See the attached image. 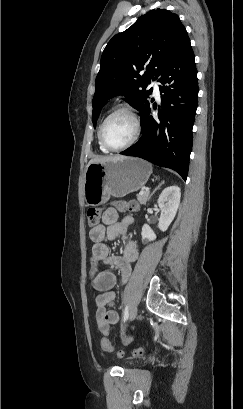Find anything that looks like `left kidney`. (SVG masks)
<instances>
[{
	"instance_id": "left-kidney-1",
	"label": "left kidney",
	"mask_w": 243,
	"mask_h": 409,
	"mask_svg": "<svg viewBox=\"0 0 243 409\" xmlns=\"http://www.w3.org/2000/svg\"><path fill=\"white\" fill-rule=\"evenodd\" d=\"M181 192L178 186H169L165 188L159 196L158 205L161 209L158 228L166 231L173 221L180 204ZM142 242L147 243L156 239V234L151 227L145 224L142 227Z\"/></svg>"
}]
</instances>
